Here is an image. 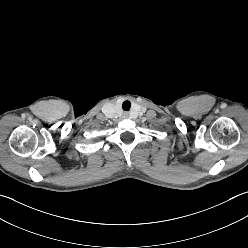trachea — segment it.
<instances>
[{
    "mask_svg": "<svg viewBox=\"0 0 248 248\" xmlns=\"http://www.w3.org/2000/svg\"><path fill=\"white\" fill-rule=\"evenodd\" d=\"M130 107H131L130 101L126 100L123 102V104H122L123 110L128 111L130 109Z\"/></svg>",
    "mask_w": 248,
    "mask_h": 248,
    "instance_id": "1",
    "label": "trachea"
}]
</instances>
